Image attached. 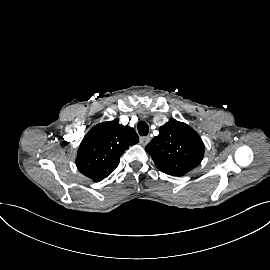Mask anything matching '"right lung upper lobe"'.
<instances>
[{"mask_svg":"<svg viewBox=\"0 0 270 270\" xmlns=\"http://www.w3.org/2000/svg\"><path fill=\"white\" fill-rule=\"evenodd\" d=\"M138 142L135 130L119 124L118 119L100 123L83 138L77 153V168L86 177L101 181L117 168L125 150Z\"/></svg>","mask_w":270,"mask_h":270,"instance_id":"obj_1","label":"right lung upper lobe"}]
</instances>
